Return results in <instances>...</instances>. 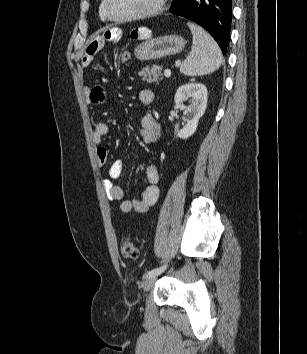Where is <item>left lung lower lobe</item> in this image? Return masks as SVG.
Masks as SVG:
<instances>
[{"mask_svg": "<svg viewBox=\"0 0 307 354\" xmlns=\"http://www.w3.org/2000/svg\"><path fill=\"white\" fill-rule=\"evenodd\" d=\"M170 12L204 27L226 53L232 21V0H173Z\"/></svg>", "mask_w": 307, "mask_h": 354, "instance_id": "obj_1", "label": "left lung lower lobe"}]
</instances>
